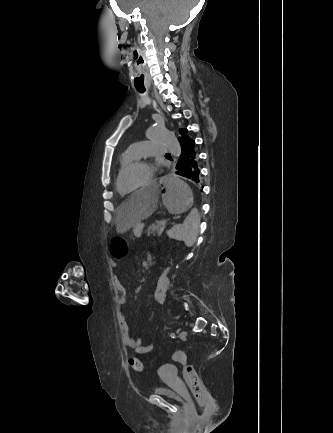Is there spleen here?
<instances>
[{
	"label": "spleen",
	"instance_id": "spleen-1",
	"mask_svg": "<svg viewBox=\"0 0 333 433\" xmlns=\"http://www.w3.org/2000/svg\"><path fill=\"white\" fill-rule=\"evenodd\" d=\"M199 218L200 213L198 212L197 208H192L191 212L188 214L182 224H175L168 231L169 237L175 240L183 241L187 247L193 246L197 240L199 232Z\"/></svg>",
	"mask_w": 333,
	"mask_h": 433
}]
</instances>
